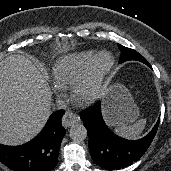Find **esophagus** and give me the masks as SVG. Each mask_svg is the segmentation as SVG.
<instances>
[{
	"mask_svg": "<svg viewBox=\"0 0 171 171\" xmlns=\"http://www.w3.org/2000/svg\"><path fill=\"white\" fill-rule=\"evenodd\" d=\"M80 121V117L73 113L72 111H66L65 115L62 119V124L64 127H70L75 123H78Z\"/></svg>",
	"mask_w": 171,
	"mask_h": 171,
	"instance_id": "obj_1",
	"label": "esophagus"
}]
</instances>
